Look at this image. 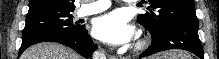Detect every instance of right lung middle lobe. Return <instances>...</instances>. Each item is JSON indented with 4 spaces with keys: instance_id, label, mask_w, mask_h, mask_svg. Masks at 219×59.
<instances>
[{
    "instance_id": "1",
    "label": "right lung middle lobe",
    "mask_w": 219,
    "mask_h": 59,
    "mask_svg": "<svg viewBox=\"0 0 219 59\" xmlns=\"http://www.w3.org/2000/svg\"><path fill=\"white\" fill-rule=\"evenodd\" d=\"M84 26L73 22L71 12L36 10L27 14L22 40L52 32L79 33Z\"/></svg>"
}]
</instances>
